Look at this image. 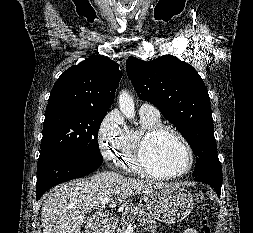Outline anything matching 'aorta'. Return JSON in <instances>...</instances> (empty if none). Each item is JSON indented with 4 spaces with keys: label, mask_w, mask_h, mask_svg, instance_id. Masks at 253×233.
I'll list each match as a JSON object with an SVG mask.
<instances>
[{
    "label": "aorta",
    "mask_w": 253,
    "mask_h": 233,
    "mask_svg": "<svg viewBox=\"0 0 253 233\" xmlns=\"http://www.w3.org/2000/svg\"><path fill=\"white\" fill-rule=\"evenodd\" d=\"M118 104L123 115L132 120L135 117L134 100L127 91H122L119 94Z\"/></svg>",
    "instance_id": "1"
}]
</instances>
